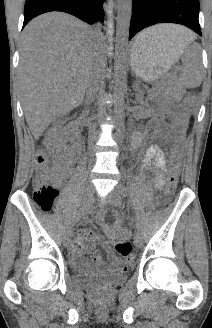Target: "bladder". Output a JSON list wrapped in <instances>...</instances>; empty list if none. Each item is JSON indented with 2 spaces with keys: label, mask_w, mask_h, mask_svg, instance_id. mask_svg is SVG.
<instances>
[{
  "label": "bladder",
  "mask_w": 212,
  "mask_h": 328,
  "mask_svg": "<svg viewBox=\"0 0 212 328\" xmlns=\"http://www.w3.org/2000/svg\"><path fill=\"white\" fill-rule=\"evenodd\" d=\"M73 279L82 286H112L124 282L127 278L125 273L113 272L106 275H97L89 271L86 261L78 258L72 263Z\"/></svg>",
  "instance_id": "1"
}]
</instances>
